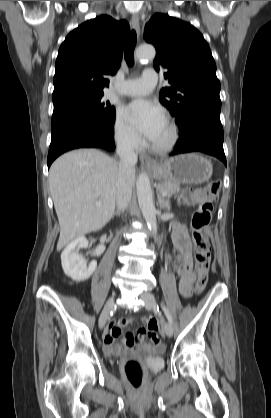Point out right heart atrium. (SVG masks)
<instances>
[{"instance_id":"d8ad5b80","label":"right heart atrium","mask_w":271,"mask_h":418,"mask_svg":"<svg viewBox=\"0 0 271 418\" xmlns=\"http://www.w3.org/2000/svg\"><path fill=\"white\" fill-rule=\"evenodd\" d=\"M113 134L118 147L124 151H136L140 146V136L126 122L122 113L120 112H118L115 116Z\"/></svg>"}]
</instances>
